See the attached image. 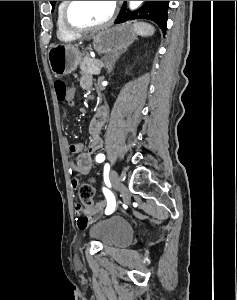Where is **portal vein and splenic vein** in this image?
Listing matches in <instances>:
<instances>
[{
	"instance_id": "18ae733b",
	"label": "portal vein and splenic vein",
	"mask_w": 237,
	"mask_h": 300,
	"mask_svg": "<svg viewBox=\"0 0 237 300\" xmlns=\"http://www.w3.org/2000/svg\"><path fill=\"white\" fill-rule=\"evenodd\" d=\"M96 64H97V65H96V68H103V65H102V64H104V63H102L101 60H100V61L98 60Z\"/></svg>"
}]
</instances>
